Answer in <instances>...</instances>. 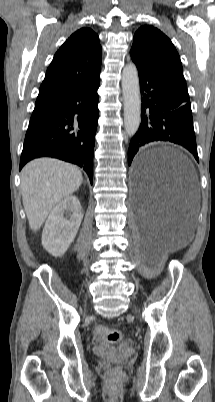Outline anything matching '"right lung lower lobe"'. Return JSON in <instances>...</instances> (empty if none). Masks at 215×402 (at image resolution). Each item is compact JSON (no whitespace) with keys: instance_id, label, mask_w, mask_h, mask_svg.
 Returning a JSON list of instances; mask_svg holds the SVG:
<instances>
[{"instance_id":"1","label":"right lung lower lobe","mask_w":215,"mask_h":402,"mask_svg":"<svg viewBox=\"0 0 215 402\" xmlns=\"http://www.w3.org/2000/svg\"><path fill=\"white\" fill-rule=\"evenodd\" d=\"M100 77L57 99L30 119L20 170L30 160L54 157L82 167L93 181Z\"/></svg>"}]
</instances>
